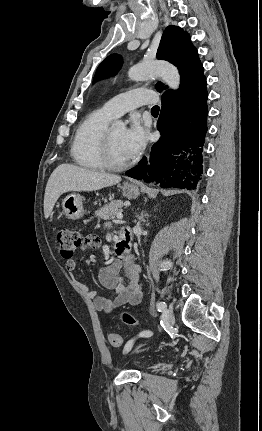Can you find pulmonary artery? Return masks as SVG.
<instances>
[{
    "label": "pulmonary artery",
    "instance_id": "1",
    "mask_svg": "<svg viewBox=\"0 0 262 431\" xmlns=\"http://www.w3.org/2000/svg\"><path fill=\"white\" fill-rule=\"evenodd\" d=\"M156 94L145 88L139 87L134 90L121 93L108 100L103 108L113 117L138 108L142 105H151L156 102Z\"/></svg>",
    "mask_w": 262,
    "mask_h": 431
}]
</instances>
